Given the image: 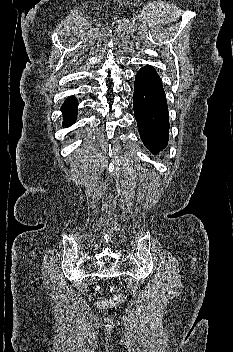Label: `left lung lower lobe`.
<instances>
[{"label":"left lung lower lobe","mask_w":233,"mask_h":352,"mask_svg":"<svg viewBox=\"0 0 233 352\" xmlns=\"http://www.w3.org/2000/svg\"><path fill=\"white\" fill-rule=\"evenodd\" d=\"M133 109L144 145L152 153L163 150L168 142V106L161 79L152 66L146 65L136 74Z\"/></svg>","instance_id":"left-lung-lower-lobe-1"}]
</instances>
